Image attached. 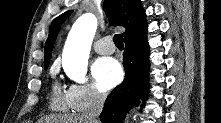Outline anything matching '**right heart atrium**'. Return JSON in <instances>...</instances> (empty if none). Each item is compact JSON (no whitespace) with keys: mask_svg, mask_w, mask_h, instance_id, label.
I'll return each mask as SVG.
<instances>
[{"mask_svg":"<svg viewBox=\"0 0 221 123\" xmlns=\"http://www.w3.org/2000/svg\"><path fill=\"white\" fill-rule=\"evenodd\" d=\"M66 95L71 109L76 112L100 105L106 99V93L92 83L71 84Z\"/></svg>","mask_w":221,"mask_h":123,"instance_id":"obj_1","label":"right heart atrium"}]
</instances>
